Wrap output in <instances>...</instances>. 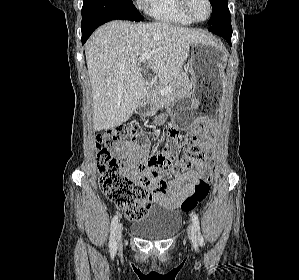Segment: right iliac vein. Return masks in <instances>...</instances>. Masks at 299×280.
Wrapping results in <instances>:
<instances>
[{
	"label": "right iliac vein",
	"instance_id": "obj_1",
	"mask_svg": "<svg viewBox=\"0 0 299 280\" xmlns=\"http://www.w3.org/2000/svg\"><path fill=\"white\" fill-rule=\"evenodd\" d=\"M122 224H118L116 227V246L120 247L122 244Z\"/></svg>",
	"mask_w": 299,
	"mask_h": 280
}]
</instances>
